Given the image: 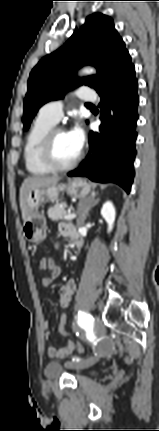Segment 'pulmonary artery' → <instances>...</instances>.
Returning a JSON list of instances; mask_svg holds the SVG:
<instances>
[{
    "mask_svg": "<svg viewBox=\"0 0 159 431\" xmlns=\"http://www.w3.org/2000/svg\"><path fill=\"white\" fill-rule=\"evenodd\" d=\"M76 94L84 101L91 102L96 100L95 92L87 86L80 87ZM63 106L62 100L48 102L40 109V114L56 124L63 116Z\"/></svg>",
    "mask_w": 159,
    "mask_h": 431,
    "instance_id": "e3ab8cb5",
    "label": "pulmonary artery"
}]
</instances>
